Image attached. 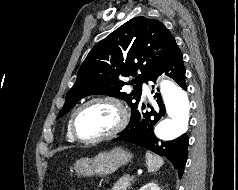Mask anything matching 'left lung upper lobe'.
<instances>
[{
  "label": "left lung upper lobe",
  "mask_w": 238,
  "mask_h": 190,
  "mask_svg": "<svg viewBox=\"0 0 238 190\" xmlns=\"http://www.w3.org/2000/svg\"><path fill=\"white\" fill-rule=\"evenodd\" d=\"M179 50L175 38L158 20L135 17L99 42L82 63L74 86L57 119L68 113L82 98L104 94L122 99L131 112L140 103L142 83ZM140 71V74H137ZM134 76V90L122 92V77Z\"/></svg>",
  "instance_id": "1"
}]
</instances>
